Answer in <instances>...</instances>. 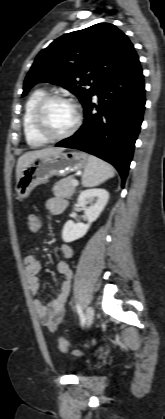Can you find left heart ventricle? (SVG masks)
<instances>
[{
	"label": "left heart ventricle",
	"mask_w": 165,
	"mask_h": 419,
	"mask_svg": "<svg viewBox=\"0 0 165 419\" xmlns=\"http://www.w3.org/2000/svg\"><path fill=\"white\" fill-rule=\"evenodd\" d=\"M44 119L49 132L58 135L66 132L73 125L75 111L69 103L54 101L47 105Z\"/></svg>",
	"instance_id": "b2bd125f"
}]
</instances>
